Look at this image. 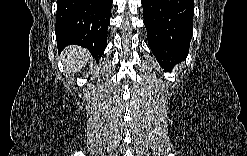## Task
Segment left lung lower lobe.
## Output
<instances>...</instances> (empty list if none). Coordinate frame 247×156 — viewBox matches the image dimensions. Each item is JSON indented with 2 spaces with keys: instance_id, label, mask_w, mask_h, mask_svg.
I'll use <instances>...</instances> for the list:
<instances>
[{
  "instance_id": "0a47b994",
  "label": "left lung lower lobe",
  "mask_w": 247,
  "mask_h": 156,
  "mask_svg": "<svg viewBox=\"0 0 247 156\" xmlns=\"http://www.w3.org/2000/svg\"><path fill=\"white\" fill-rule=\"evenodd\" d=\"M148 44L160 64L185 60L193 33L194 0H142Z\"/></svg>"
}]
</instances>
